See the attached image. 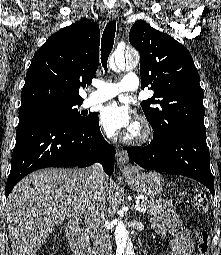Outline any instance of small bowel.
<instances>
[{"instance_id": "small-bowel-1", "label": "small bowel", "mask_w": 221, "mask_h": 255, "mask_svg": "<svg viewBox=\"0 0 221 255\" xmlns=\"http://www.w3.org/2000/svg\"><path fill=\"white\" fill-rule=\"evenodd\" d=\"M152 228L162 237L167 230L172 233L168 244L173 250V255H193V239L190 234L181 227V221L172 210H166L161 216L151 218Z\"/></svg>"}]
</instances>
